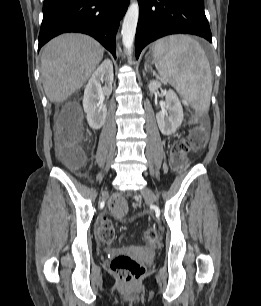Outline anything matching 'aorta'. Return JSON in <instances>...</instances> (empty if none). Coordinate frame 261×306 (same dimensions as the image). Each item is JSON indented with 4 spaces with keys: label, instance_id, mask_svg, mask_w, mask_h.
I'll use <instances>...</instances> for the list:
<instances>
[{
    "label": "aorta",
    "instance_id": "1",
    "mask_svg": "<svg viewBox=\"0 0 261 306\" xmlns=\"http://www.w3.org/2000/svg\"><path fill=\"white\" fill-rule=\"evenodd\" d=\"M139 18V5L137 2L131 3L126 15L124 17L122 25V42L126 50L128 51L129 59L131 60V50L136 33V27Z\"/></svg>",
    "mask_w": 261,
    "mask_h": 306
}]
</instances>
